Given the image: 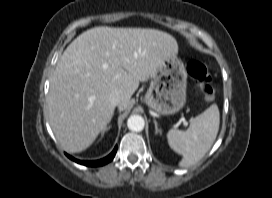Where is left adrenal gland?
<instances>
[{"label":"left adrenal gland","mask_w":272,"mask_h":198,"mask_svg":"<svg viewBox=\"0 0 272 198\" xmlns=\"http://www.w3.org/2000/svg\"><path fill=\"white\" fill-rule=\"evenodd\" d=\"M154 125H155V134H162L161 129L158 127L157 121L154 119Z\"/></svg>","instance_id":"a2214340"}]
</instances>
